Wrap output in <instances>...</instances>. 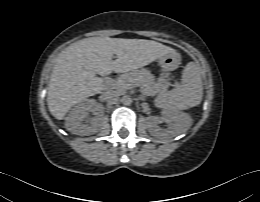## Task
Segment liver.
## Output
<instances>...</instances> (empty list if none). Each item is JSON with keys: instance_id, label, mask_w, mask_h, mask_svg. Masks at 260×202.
Masks as SVG:
<instances>
[{"instance_id": "obj_1", "label": "liver", "mask_w": 260, "mask_h": 202, "mask_svg": "<svg viewBox=\"0 0 260 202\" xmlns=\"http://www.w3.org/2000/svg\"><path fill=\"white\" fill-rule=\"evenodd\" d=\"M174 52L144 39L91 37L77 41L60 53L53 68L47 93L49 111L62 120L74 105L104 89L96 74L132 71ZM114 54L116 60H112Z\"/></svg>"}]
</instances>
